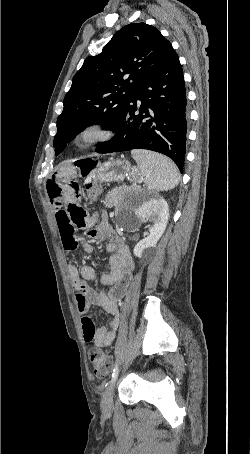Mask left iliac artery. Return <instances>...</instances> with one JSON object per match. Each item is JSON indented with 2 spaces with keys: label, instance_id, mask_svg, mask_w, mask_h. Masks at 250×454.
<instances>
[{
  "label": "left iliac artery",
  "instance_id": "left-iliac-artery-1",
  "mask_svg": "<svg viewBox=\"0 0 250 454\" xmlns=\"http://www.w3.org/2000/svg\"><path fill=\"white\" fill-rule=\"evenodd\" d=\"M118 373H119V369H118V364L116 363V364H115V367H114V369H113V373H112V377H111V382L117 378Z\"/></svg>",
  "mask_w": 250,
  "mask_h": 454
}]
</instances>
